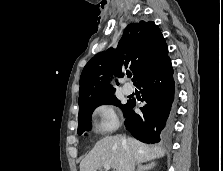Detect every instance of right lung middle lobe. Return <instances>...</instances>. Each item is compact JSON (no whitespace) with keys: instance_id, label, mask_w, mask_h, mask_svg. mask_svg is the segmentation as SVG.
<instances>
[{"instance_id":"dd1d6c3e","label":"right lung middle lobe","mask_w":223,"mask_h":171,"mask_svg":"<svg viewBox=\"0 0 223 171\" xmlns=\"http://www.w3.org/2000/svg\"><path fill=\"white\" fill-rule=\"evenodd\" d=\"M104 104H113V105L119 106L122 109L123 113H125L129 106V101L126 104L122 105L120 104V101L115 98V96L110 95L98 101H95L91 104H88L79 108L78 131H77L79 135H82L84 132L89 131L91 129L92 127L91 115H92L93 110L96 107L100 105H104Z\"/></svg>"}]
</instances>
